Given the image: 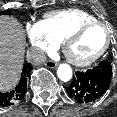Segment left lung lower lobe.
<instances>
[{"label":"left lung lower lobe","mask_w":117,"mask_h":117,"mask_svg":"<svg viewBox=\"0 0 117 117\" xmlns=\"http://www.w3.org/2000/svg\"><path fill=\"white\" fill-rule=\"evenodd\" d=\"M111 77L112 65L104 61L93 69L76 72V76L66 91L79 103L94 102L108 90Z\"/></svg>","instance_id":"obj_1"}]
</instances>
